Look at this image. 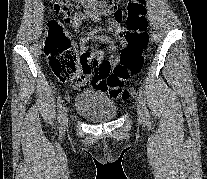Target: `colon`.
<instances>
[{"label": "colon", "instance_id": "obj_1", "mask_svg": "<svg viewBox=\"0 0 207 179\" xmlns=\"http://www.w3.org/2000/svg\"><path fill=\"white\" fill-rule=\"evenodd\" d=\"M54 8L64 15V23L70 17L80 16L87 11L107 15L115 0H53ZM147 0H129L126 5V45L115 58H98L88 52H81L78 42L62 26L52 20L48 23L45 39V53L54 76L63 83L90 82L107 91L116 99L125 100L129 90L125 82L132 75L141 72L144 65L143 51L149 44L147 32ZM91 78V80H90Z\"/></svg>", "mask_w": 207, "mask_h": 179}]
</instances>
